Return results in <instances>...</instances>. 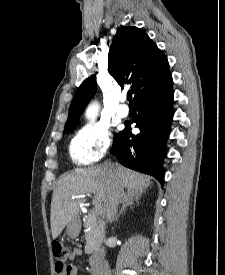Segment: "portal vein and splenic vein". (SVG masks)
I'll use <instances>...</instances> for the list:
<instances>
[{
  "mask_svg": "<svg viewBox=\"0 0 225 275\" xmlns=\"http://www.w3.org/2000/svg\"><path fill=\"white\" fill-rule=\"evenodd\" d=\"M96 208H101V206H97Z\"/></svg>",
  "mask_w": 225,
  "mask_h": 275,
  "instance_id": "portal-vein-and-splenic-vein-1",
  "label": "portal vein and splenic vein"
}]
</instances>
